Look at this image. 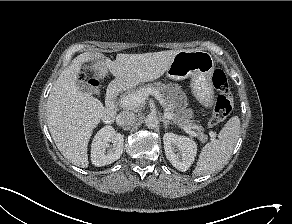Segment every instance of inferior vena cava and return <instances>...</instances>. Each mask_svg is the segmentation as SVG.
<instances>
[{
    "label": "inferior vena cava",
    "mask_w": 292,
    "mask_h": 224,
    "mask_svg": "<svg viewBox=\"0 0 292 224\" xmlns=\"http://www.w3.org/2000/svg\"><path fill=\"white\" fill-rule=\"evenodd\" d=\"M136 121V116L133 112L123 111L116 117V122L120 126H132Z\"/></svg>",
    "instance_id": "602c4592"
}]
</instances>
